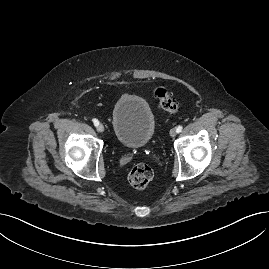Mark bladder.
<instances>
[{
  "label": "bladder",
  "instance_id": "bladder-1",
  "mask_svg": "<svg viewBox=\"0 0 269 269\" xmlns=\"http://www.w3.org/2000/svg\"><path fill=\"white\" fill-rule=\"evenodd\" d=\"M155 126L154 113L143 97L124 94L118 98L112 110V130L120 144L145 146L153 138Z\"/></svg>",
  "mask_w": 269,
  "mask_h": 269
}]
</instances>
